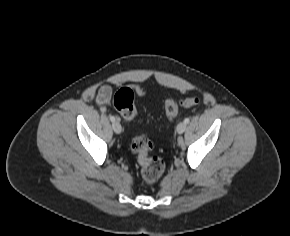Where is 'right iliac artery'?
I'll list each match as a JSON object with an SVG mask.
<instances>
[{"mask_svg": "<svg viewBox=\"0 0 290 236\" xmlns=\"http://www.w3.org/2000/svg\"><path fill=\"white\" fill-rule=\"evenodd\" d=\"M110 120H111L112 122H114V121H115V117H114V116H110Z\"/></svg>", "mask_w": 290, "mask_h": 236, "instance_id": "obj_1", "label": "right iliac artery"}]
</instances>
